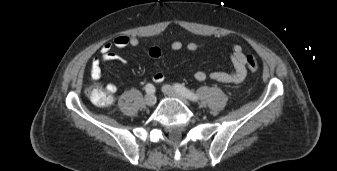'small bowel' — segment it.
Masks as SVG:
<instances>
[{"mask_svg": "<svg viewBox=\"0 0 337 171\" xmlns=\"http://www.w3.org/2000/svg\"><path fill=\"white\" fill-rule=\"evenodd\" d=\"M139 43L140 41L137 37L129 35H118L113 41L105 43L100 50V54L94 57L91 61L90 75L92 79L95 81L101 79L102 62L119 61L121 63H125V59L116 53L114 49L137 47ZM204 47L205 45L203 43L196 41H191L187 44V49L190 51H197ZM171 48L175 51H179L183 48V43L179 40L173 41L171 43ZM148 53L153 60L154 67L157 69L153 76V81L156 84H160L165 79L164 73L159 70V59L162 55V51L158 46H152L148 50ZM246 57L247 56L243 47L235 44L231 47V62L234 68L232 72H206L198 70L194 73V78L200 82L210 79L225 84H240L247 75ZM105 89L110 94H115L117 92V86L112 83L107 84Z\"/></svg>", "mask_w": 337, "mask_h": 171, "instance_id": "obj_1", "label": "small bowel"}]
</instances>
